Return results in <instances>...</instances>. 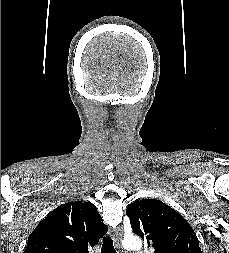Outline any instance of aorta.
<instances>
[{
  "label": "aorta",
  "instance_id": "762f6f07",
  "mask_svg": "<svg viewBox=\"0 0 229 253\" xmlns=\"http://www.w3.org/2000/svg\"><path fill=\"white\" fill-rule=\"evenodd\" d=\"M123 246L129 250H139L142 246V242L138 237L132 236L123 243Z\"/></svg>",
  "mask_w": 229,
  "mask_h": 253
}]
</instances>
